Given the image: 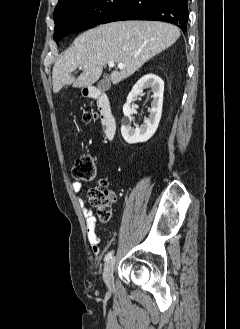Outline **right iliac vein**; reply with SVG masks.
<instances>
[{
  "label": "right iliac vein",
  "instance_id": "right-iliac-vein-1",
  "mask_svg": "<svg viewBox=\"0 0 240 329\" xmlns=\"http://www.w3.org/2000/svg\"><path fill=\"white\" fill-rule=\"evenodd\" d=\"M114 267H115L114 258L107 261V263L105 264V267H104L103 279H104L106 286L109 289H112L114 287V279H113Z\"/></svg>",
  "mask_w": 240,
  "mask_h": 329
}]
</instances>
